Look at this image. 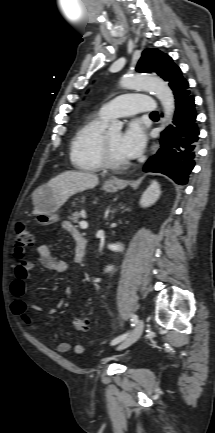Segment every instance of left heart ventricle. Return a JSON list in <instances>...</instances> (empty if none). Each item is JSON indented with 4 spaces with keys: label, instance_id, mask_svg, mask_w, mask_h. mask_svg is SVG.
<instances>
[{
    "label": "left heart ventricle",
    "instance_id": "obj_1",
    "mask_svg": "<svg viewBox=\"0 0 215 433\" xmlns=\"http://www.w3.org/2000/svg\"><path fill=\"white\" fill-rule=\"evenodd\" d=\"M106 136L113 156L118 160H126L127 158L120 153L118 148L121 133L116 131V132L107 133Z\"/></svg>",
    "mask_w": 215,
    "mask_h": 433
}]
</instances>
